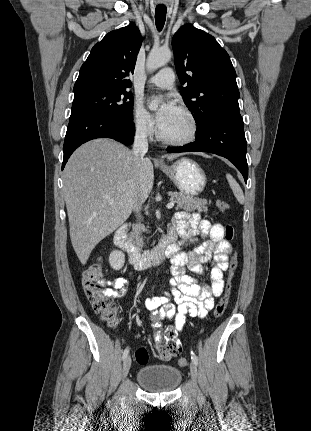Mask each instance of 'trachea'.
<instances>
[{"instance_id":"1","label":"trachea","mask_w":311,"mask_h":431,"mask_svg":"<svg viewBox=\"0 0 311 431\" xmlns=\"http://www.w3.org/2000/svg\"><path fill=\"white\" fill-rule=\"evenodd\" d=\"M167 8L163 6H157L155 9V23L157 30L160 32L164 27L166 20Z\"/></svg>"}]
</instances>
